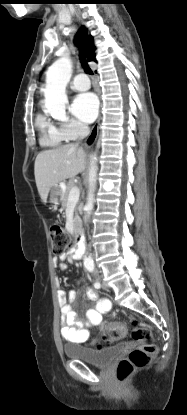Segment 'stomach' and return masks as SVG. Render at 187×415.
<instances>
[{
	"label": "stomach",
	"mask_w": 187,
	"mask_h": 415,
	"mask_svg": "<svg viewBox=\"0 0 187 415\" xmlns=\"http://www.w3.org/2000/svg\"><path fill=\"white\" fill-rule=\"evenodd\" d=\"M61 184L54 185L50 190V198L49 203L52 204L53 207H57L59 205L60 196L62 193Z\"/></svg>",
	"instance_id": "obj_1"
}]
</instances>
